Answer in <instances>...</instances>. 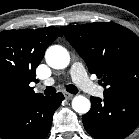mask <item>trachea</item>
I'll list each match as a JSON object with an SVG mask.
<instances>
[{"mask_svg": "<svg viewBox=\"0 0 139 139\" xmlns=\"http://www.w3.org/2000/svg\"><path fill=\"white\" fill-rule=\"evenodd\" d=\"M66 90L71 93V94H77L78 93V89L76 86L69 84L66 86ZM45 95L49 96V95H53L56 93V89L52 86H48L46 87L45 91H44Z\"/></svg>", "mask_w": 139, "mask_h": 139, "instance_id": "3493384b", "label": "trachea"}]
</instances>
